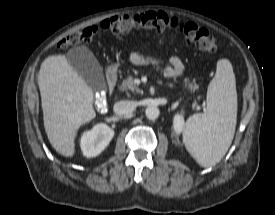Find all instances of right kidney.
I'll use <instances>...</instances> for the list:
<instances>
[{
	"label": "right kidney",
	"instance_id": "obj_1",
	"mask_svg": "<svg viewBox=\"0 0 275 215\" xmlns=\"http://www.w3.org/2000/svg\"><path fill=\"white\" fill-rule=\"evenodd\" d=\"M114 131L104 123L95 125L85 132L80 140L81 150L86 157L98 156L110 143Z\"/></svg>",
	"mask_w": 275,
	"mask_h": 215
}]
</instances>
